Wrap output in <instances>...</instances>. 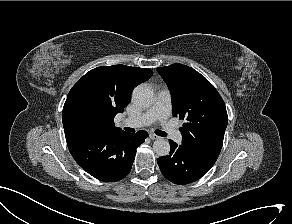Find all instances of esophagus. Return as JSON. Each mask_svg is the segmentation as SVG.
Instances as JSON below:
<instances>
[{"instance_id":"obj_1","label":"esophagus","mask_w":292,"mask_h":224,"mask_svg":"<svg viewBox=\"0 0 292 224\" xmlns=\"http://www.w3.org/2000/svg\"><path fill=\"white\" fill-rule=\"evenodd\" d=\"M149 137H150V139H152V140H156V139H159V138H160L159 136H157V135H155V134H153V133H150Z\"/></svg>"}]
</instances>
